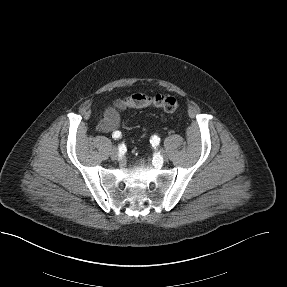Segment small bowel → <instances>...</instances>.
I'll return each instance as SVG.
<instances>
[{
  "label": "small bowel",
  "instance_id": "c3829d8e",
  "mask_svg": "<svg viewBox=\"0 0 287 287\" xmlns=\"http://www.w3.org/2000/svg\"><path fill=\"white\" fill-rule=\"evenodd\" d=\"M120 126V115L115 107L109 106L98 124V129L102 132H117Z\"/></svg>",
  "mask_w": 287,
  "mask_h": 287
}]
</instances>
